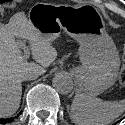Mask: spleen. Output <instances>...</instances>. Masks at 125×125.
<instances>
[{
    "instance_id": "1",
    "label": "spleen",
    "mask_w": 125,
    "mask_h": 125,
    "mask_svg": "<svg viewBox=\"0 0 125 125\" xmlns=\"http://www.w3.org/2000/svg\"><path fill=\"white\" fill-rule=\"evenodd\" d=\"M125 111V99L103 101L77 93L72 101L70 117L77 125H108Z\"/></svg>"
}]
</instances>
